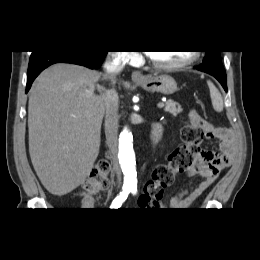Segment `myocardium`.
I'll return each mask as SVG.
<instances>
[{
  "label": "myocardium",
  "mask_w": 260,
  "mask_h": 260,
  "mask_svg": "<svg viewBox=\"0 0 260 260\" xmlns=\"http://www.w3.org/2000/svg\"><path fill=\"white\" fill-rule=\"evenodd\" d=\"M198 58H199V52L198 51H193V52H191V55L187 59H185L183 61L176 62V63L165 64V63L157 62L156 60H154L152 58V56L150 54L147 55V59H148L149 63L153 67H155L156 69L166 70V71L179 70V69L185 68L187 66H190Z\"/></svg>",
  "instance_id": "obj_1"
}]
</instances>
